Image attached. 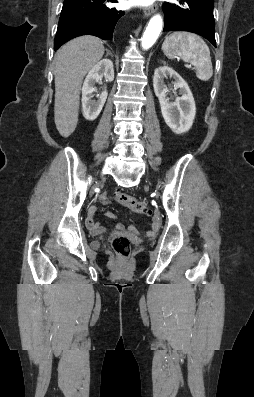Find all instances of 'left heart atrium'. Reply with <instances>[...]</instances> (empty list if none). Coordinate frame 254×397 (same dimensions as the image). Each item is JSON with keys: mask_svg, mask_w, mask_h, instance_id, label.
Returning <instances> with one entry per match:
<instances>
[{"mask_svg": "<svg viewBox=\"0 0 254 397\" xmlns=\"http://www.w3.org/2000/svg\"><path fill=\"white\" fill-rule=\"evenodd\" d=\"M136 1H138V3H141V4H148V3L152 2L153 0H136Z\"/></svg>", "mask_w": 254, "mask_h": 397, "instance_id": "obj_1", "label": "left heart atrium"}]
</instances>
